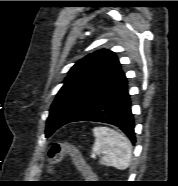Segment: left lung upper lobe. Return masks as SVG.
<instances>
[{"label": "left lung upper lobe", "instance_id": "obj_1", "mask_svg": "<svg viewBox=\"0 0 178 186\" xmlns=\"http://www.w3.org/2000/svg\"><path fill=\"white\" fill-rule=\"evenodd\" d=\"M126 84L127 78L114 52L98 50L79 60L51 106L46 137Z\"/></svg>", "mask_w": 178, "mask_h": 186}]
</instances>
